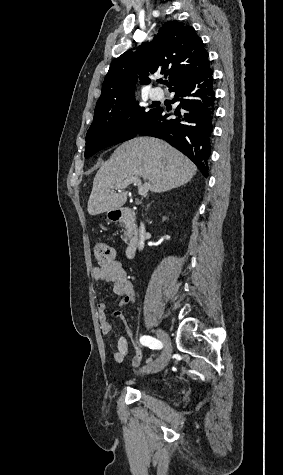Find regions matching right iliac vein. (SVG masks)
Here are the masks:
<instances>
[{
    "label": "right iliac vein",
    "instance_id": "63e3f726",
    "mask_svg": "<svg viewBox=\"0 0 283 475\" xmlns=\"http://www.w3.org/2000/svg\"><path fill=\"white\" fill-rule=\"evenodd\" d=\"M156 334L163 344V347H164L163 353L150 367L142 370V372H145V373L159 372L162 369H164L170 361L172 346H171V342L169 340L167 332L162 329H158L156 331Z\"/></svg>",
    "mask_w": 283,
    "mask_h": 475
}]
</instances>
